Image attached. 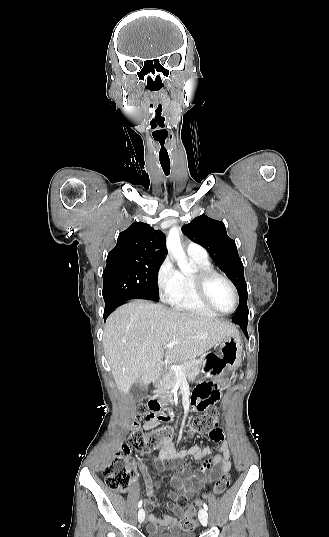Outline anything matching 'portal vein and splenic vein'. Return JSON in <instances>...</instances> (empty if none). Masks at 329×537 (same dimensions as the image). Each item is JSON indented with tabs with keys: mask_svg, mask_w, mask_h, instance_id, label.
<instances>
[{
	"mask_svg": "<svg viewBox=\"0 0 329 537\" xmlns=\"http://www.w3.org/2000/svg\"><path fill=\"white\" fill-rule=\"evenodd\" d=\"M174 345H175V342L167 343V344L165 345V347L168 348V349H171ZM171 368L174 369L176 372H178L180 375H182L181 372H182L186 367L173 365V366H171Z\"/></svg>",
	"mask_w": 329,
	"mask_h": 537,
	"instance_id": "portal-vein-and-splenic-vein-1",
	"label": "portal vein and splenic vein"
}]
</instances>
